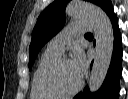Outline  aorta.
Wrapping results in <instances>:
<instances>
[{
  "mask_svg": "<svg viewBox=\"0 0 128 99\" xmlns=\"http://www.w3.org/2000/svg\"><path fill=\"white\" fill-rule=\"evenodd\" d=\"M66 11L68 16L87 19L93 26L96 47L89 89L96 92L104 82L112 58L114 33L111 21L101 8L83 0L71 1Z\"/></svg>",
  "mask_w": 128,
  "mask_h": 99,
  "instance_id": "762f6f07",
  "label": "aorta"
}]
</instances>
